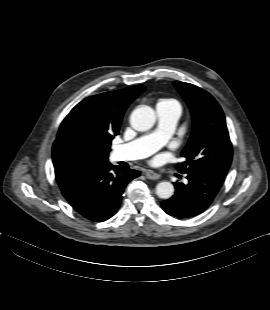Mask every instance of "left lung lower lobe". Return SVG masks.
I'll return each instance as SVG.
<instances>
[{"mask_svg":"<svg viewBox=\"0 0 270 310\" xmlns=\"http://www.w3.org/2000/svg\"><path fill=\"white\" fill-rule=\"evenodd\" d=\"M186 175L188 184L175 182V195L161 203L167 214L177 218L194 217L204 212L225 180V177L200 171H190Z\"/></svg>","mask_w":270,"mask_h":310,"instance_id":"0a47b994","label":"left lung lower lobe"}]
</instances>
